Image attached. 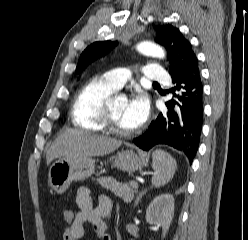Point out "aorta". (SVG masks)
Returning a JSON list of instances; mask_svg holds the SVG:
<instances>
[{"label":"aorta","instance_id":"1","mask_svg":"<svg viewBox=\"0 0 248 240\" xmlns=\"http://www.w3.org/2000/svg\"><path fill=\"white\" fill-rule=\"evenodd\" d=\"M137 50L146 56L164 58L165 51L158 45L150 42L144 41L137 45Z\"/></svg>","mask_w":248,"mask_h":240}]
</instances>
